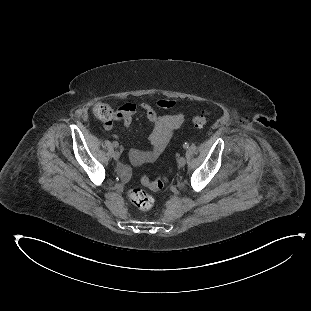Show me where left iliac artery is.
<instances>
[{
  "label": "left iliac artery",
  "mask_w": 311,
  "mask_h": 311,
  "mask_svg": "<svg viewBox=\"0 0 311 311\" xmlns=\"http://www.w3.org/2000/svg\"><path fill=\"white\" fill-rule=\"evenodd\" d=\"M183 147L186 149V148L189 147V144H188V143H184V144H183Z\"/></svg>",
  "instance_id": "obj_1"
}]
</instances>
